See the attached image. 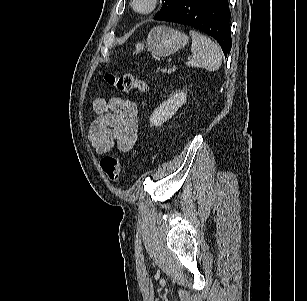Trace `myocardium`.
I'll return each instance as SVG.
<instances>
[{"instance_id":"f54148a6","label":"myocardium","mask_w":307,"mask_h":301,"mask_svg":"<svg viewBox=\"0 0 307 301\" xmlns=\"http://www.w3.org/2000/svg\"><path fill=\"white\" fill-rule=\"evenodd\" d=\"M138 0H131L132 10L139 15H150L157 10L160 4V0H149V4L146 8L141 9L137 6Z\"/></svg>"}]
</instances>
